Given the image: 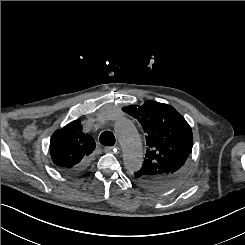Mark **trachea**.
Instances as JSON below:
<instances>
[{
	"label": "trachea",
	"mask_w": 245,
	"mask_h": 245,
	"mask_svg": "<svg viewBox=\"0 0 245 245\" xmlns=\"http://www.w3.org/2000/svg\"><path fill=\"white\" fill-rule=\"evenodd\" d=\"M99 141L102 145L113 146L115 144V136L110 131H104L100 135Z\"/></svg>",
	"instance_id": "trachea-1"
}]
</instances>
